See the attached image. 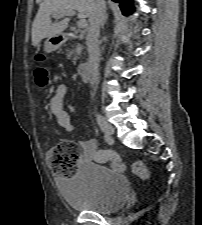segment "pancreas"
<instances>
[{"label":"pancreas","mask_w":202,"mask_h":225,"mask_svg":"<svg viewBox=\"0 0 202 225\" xmlns=\"http://www.w3.org/2000/svg\"><path fill=\"white\" fill-rule=\"evenodd\" d=\"M82 49V45L77 44L72 50L68 51V56H73V61L75 62L78 59V56L81 55Z\"/></svg>","instance_id":"1"}]
</instances>
